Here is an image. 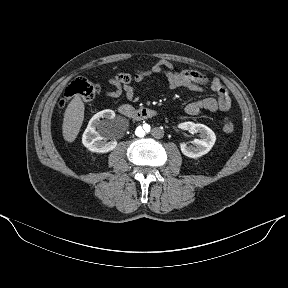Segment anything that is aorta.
Segmentation results:
<instances>
[{"instance_id": "aorta-1", "label": "aorta", "mask_w": 288, "mask_h": 288, "mask_svg": "<svg viewBox=\"0 0 288 288\" xmlns=\"http://www.w3.org/2000/svg\"><path fill=\"white\" fill-rule=\"evenodd\" d=\"M138 135H143V134H141V133H138Z\"/></svg>"}]
</instances>
